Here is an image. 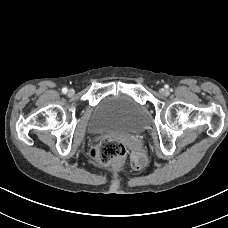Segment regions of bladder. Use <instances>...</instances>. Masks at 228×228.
Masks as SVG:
<instances>
[{
  "mask_svg": "<svg viewBox=\"0 0 228 228\" xmlns=\"http://www.w3.org/2000/svg\"><path fill=\"white\" fill-rule=\"evenodd\" d=\"M148 114L127 91L104 96L87 122L90 133H136L144 129Z\"/></svg>",
  "mask_w": 228,
  "mask_h": 228,
  "instance_id": "31cf9c89",
  "label": "bladder"
}]
</instances>
